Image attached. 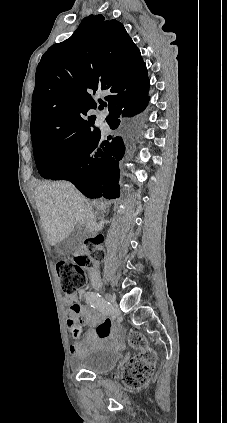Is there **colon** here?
Here are the masks:
<instances>
[{"mask_svg": "<svg viewBox=\"0 0 227 423\" xmlns=\"http://www.w3.org/2000/svg\"><path fill=\"white\" fill-rule=\"evenodd\" d=\"M102 242V236L98 235L85 240L88 248ZM91 262L86 256L76 257L74 262L65 259L58 261L56 268L61 280L62 291L66 295L74 293L85 281L84 268L90 266ZM131 346L140 350L132 357L124 368L123 378L127 385L133 388L144 387L151 376L154 365V353L146 347L145 339L142 335L132 333L129 338Z\"/></svg>", "mask_w": 227, "mask_h": 423, "instance_id": "colon-1", "label": "colon"}]
</instances>
